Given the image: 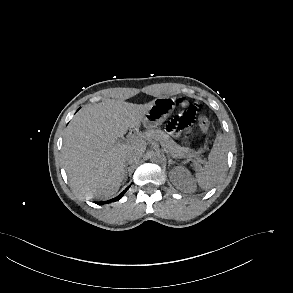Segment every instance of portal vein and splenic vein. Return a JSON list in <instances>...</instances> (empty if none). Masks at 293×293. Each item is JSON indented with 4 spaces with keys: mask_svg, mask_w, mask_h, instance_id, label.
<instances>
[{
    "mask_svg": "<svg viewBox=\"0 0 293 293\" xmlns=\"http://www.w3.org/2000/svg\"><path fill=\"white\" fill-rule=\"evenodd\" d=\"M141 137H142V136H139V135H133V136H130V137L127 139V142L139 141ZM201 162H203V161H201Z\"/></svg>",
    "mask_w": 293,
    "mask_h": 293,
    "instance_id": "18ae733b",
    "label": "portal vein and splenic vein"
}]
</instances>
